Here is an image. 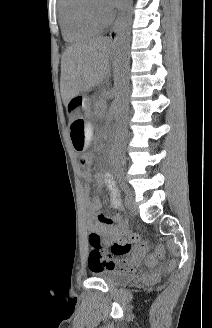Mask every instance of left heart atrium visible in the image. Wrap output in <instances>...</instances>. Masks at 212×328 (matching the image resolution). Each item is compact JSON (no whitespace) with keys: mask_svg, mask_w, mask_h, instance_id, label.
<instances>
[{"mask_svg":"<svg viewBox=\"0 0 212 328\" xmlns=\"http://www.w3.org/2000/svg\"><path fill=\"white\" fill-rule=\"evenodd\" d=\"M103 4L108 10H111L116 4V0H103Z\"/></svg>","mask_w":212,"mask_h":328,"instance_id":"39dd6f15","label":"left heart atrium"}]
</instances>
